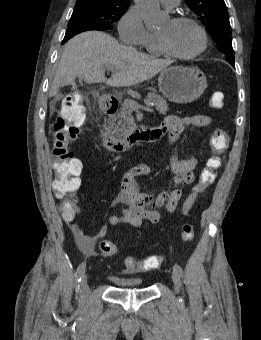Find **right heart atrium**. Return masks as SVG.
Returning <instances> with one entry per match:
<instances>
[{
    "instance_id": "right-heart-atrium-1",
    "label": "right heart atrium",
    "mask_w": 261,
    "mask_h": 340,
    "mask_svg": "<svg viewBox=\"0 0 261 340\" xmlns=\"http://www.w3.org/2000/svg\"><path fill=\"white\" fill-rule=\"evenodd\" d=\"M118 33L125 43L141 46L149 37L143 18L135 7H130L118 21Z\"/></svg>"
}]
</instances>
